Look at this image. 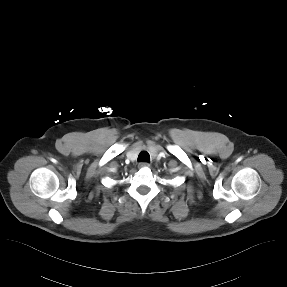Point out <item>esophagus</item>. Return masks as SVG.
<instances>
[{"mask_svg": "<svg viewBox=\"0 0 287 287\" xmlns=\"http://www.w3.org/2000/svg\"><path fill=\"white\" fill-rule=\"evenodd\" d=\"M138 167H139V168H142V167H150V164H149L148 162L143 161V162H140V163L138 164Z\"/></svg>", "mask_w": 287, "mask_h": 287, "instance_id": "obj_1", "label": "esophagus"}]
</instances>
